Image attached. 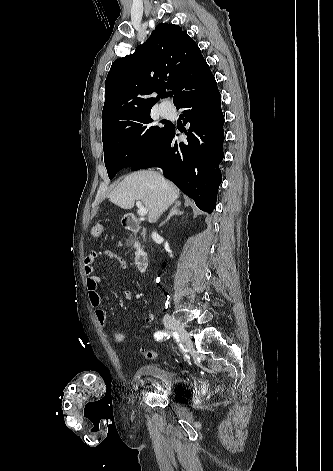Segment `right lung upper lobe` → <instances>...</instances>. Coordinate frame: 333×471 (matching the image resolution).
Returning a JSON list of instances; mask_svg holds the SVG:
<instances>
[{"label": "right lung upper lobe", "instance_id": "1", "mask_svg": "<svg viewBox=\"0 0 333 471\" xmlns=\"http://www.w3.org/2000/svg\"><path fill=\"white\" fill-rule=\"evenodd\" d=\"M210 69L197 44L182 28L156 26L135 52L117 59L105 83L102 132L111 125L151 110L167 89L175 93V106ZM157 93V97H150Z\"/></svg>", "mask_w": 333, "mask_h": 471}]
</instances>
